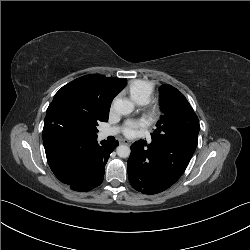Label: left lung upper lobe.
<instances>
[{
	"label": "left lung upper lobe",
	"mask_w": 250,
	"mask_h": 250,
	"mask_svg": "<svg viewBox=\"0 0 250 250\" xmlns=\"http://www.w3.org/2000/svg\"><path fill=\"white\" fill-rule=\"evenodd\" d=\"M161 109L164 115L151 134L154 141H163L199 133V120L185 96L171 85L160 88Z\"/></svg>",
	"instance_id": "5c2ea615"
}]
</instances>
